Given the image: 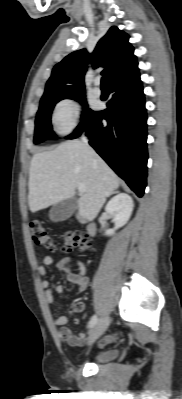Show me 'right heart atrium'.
<instances>
[{
    "label": "right heart atrium",
    "mask_w": 182,
    "mask_h": 399,
    "mask_svg": "<svg viewBox=\"0 0 182 399\" xmlns=\"http://www.w3.org/2000/svg\"><path fill=\"white\" fill-rule=\"evenodd\" d=\"M82 104L78 99L67 98L59 101L52 113L54 130L59 135L73 131L81 121Z\"/></svg>",
    "instance_id": "d8ad5b80"
}]
</instances>
